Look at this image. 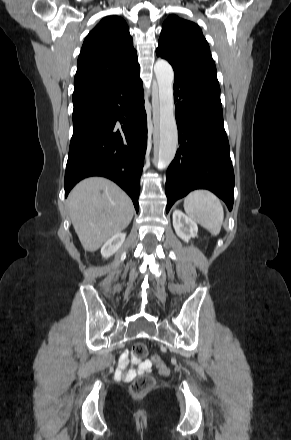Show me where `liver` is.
<instances>
[{"label": "liver", "instance_id": "liver-1", "mask_svg": "<svg viewBox=\"0 0 291 440\" xmlns=\"http://www.w3.org/2000/svg\"><path fill=\"white\" fill-rule=\"evenodd\" d=\"M67 205L79 240L86 251H97L125 229L133 217L130 197L112 181L91 177L70 192Z\"/></svg>", "mask_w": 291, "mask_h": 440}]
</instances>
